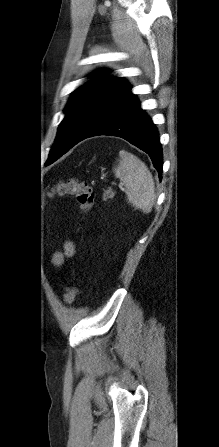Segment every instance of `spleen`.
I'll return each instance as SVG.
<instances>
[{
  "label": "spleen",
  "mask_w": 219,
  "mask_h": 447,
  "mask_svg": "<svg viewBox=\"0 0 219 447\" xmlns=\"http://www.w3.org/2000/svg\"><path fill=\"white\" fill-rule=\"evenodd\" d=\"M114 173L125 185L127 200L144 213H149L155 202V185L147 166L135 155L121 150Z\"/></svg>",
  "instance_id": "obj_1"
}]
</instances>
